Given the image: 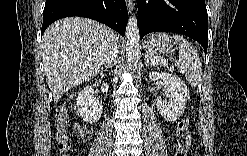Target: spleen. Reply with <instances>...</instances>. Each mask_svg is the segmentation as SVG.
I'll list each match as a JSON object with an SVG mask.
<instances>
[{
  "instance_id": "spleen-1",
  "label": "spleen",
  "mask_w": 247,
  "mask_h": 156,
  "mask_svg": "<svg viewBox=\"0 0 247 156\" xmlns=\"http://www.w3.org/2000/svg\"><path fill=\"white\" fill-rule=\"evenodd\" d=\"M179 46V58L176 62L180 73L185 74L186 80L191 86H197L201 81L202 63L197 50L180 35H174Z\"/></svg>"
}]
</instances>
